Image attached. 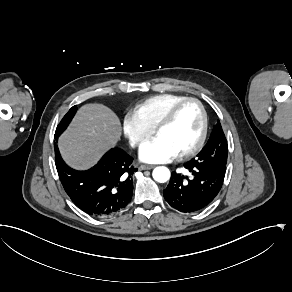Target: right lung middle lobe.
I'll list each match as a JSON object with an SVG mask.
<instances>
[{"label":"right lung middle lobe","mask_w":292,"mask_h":292,"mask_svg":"<svg viewBox=\"0 0 292 292\" xmlns=\"http://www.w3.org/2000/svg\"><path fill=\"white\" fill-rule=\"evenodd\" d=\"M76 111H77V107L76 106H73L66 113V115L63 117V119L61 120V122L59 123V125H58V127L56 129L55 139H57L60 136V134L67 128V126L69 125L70 121L74 117Z\"/></svg>","instance_id":"dd1d6c3e"}]
</instances>
